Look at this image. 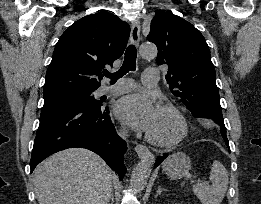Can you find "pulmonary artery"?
<instances>
[{
	"mask_svg": "<svg viewBox=\"0 0 261 204\" xmlns=\"http://www.w3.org/2000/svg\"><path fill=\"white\" fill-rule=\"evenodd\" d=\"M159 80V72L156 68H147L142 75V81L148 86L157 84ZM135 87L132 79L124 78L119 80L115 85H104L100 88L101 95H117L131 91Z\"/></svg>",
	"mask_w": 261,
	"mask_h": 204,
	"instance_id": "pulmonary-artery-1",
	"label": "pulmonary artery"
}]
</instances>
